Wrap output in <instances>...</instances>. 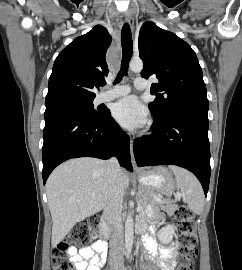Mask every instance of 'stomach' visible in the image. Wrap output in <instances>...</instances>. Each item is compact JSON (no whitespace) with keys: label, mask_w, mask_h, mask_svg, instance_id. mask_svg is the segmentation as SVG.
<instances>
[{"label":"stomach","mask_w":242,"mask_h":270,"mask_svg":"<svg viewBox=\"0 0 242 270\" xmlns=\"http://www.w3.org/2000/svg\"><path fill=\"white\" fill-rule=\"evenodd\" d=\"M141 191L148 190L154 193L169 194L174 189L171 173L164 167H157L145 171L138 176Z\"/></svg>","instance_id":"1"}]
</instances>
